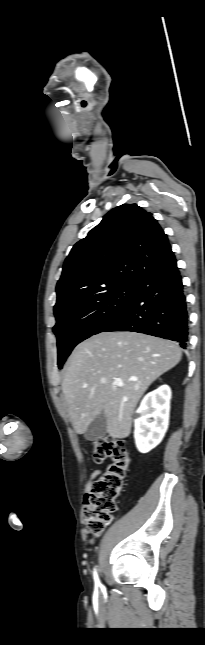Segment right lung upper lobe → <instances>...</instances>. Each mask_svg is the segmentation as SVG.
Wrapping results in <instances>:
<instances>
[{
    "mask_svg": "<svg viewBox=\"0 0 205 645\" xmlns=\"http://www.w3.org/2000/svg\"><path fill=\"white\" fill-rule=\"evenodd\" d=\"M175 260L167 235L151 213L123 204L107 213L66 258L57 283L54 313L79 299L136 284Z\"/></svg>",
    "mask_w": 205,
    "mask_h": 645,
    "instance_id": "1",
    "label": "right lung upper lobe"
}]
</instances>
